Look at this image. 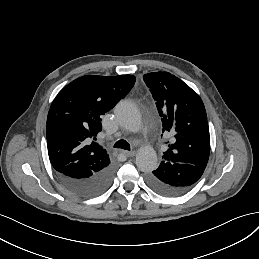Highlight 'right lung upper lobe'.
Returning a JSON list of instances; mask_svg holds the SVG:
<instances>
[{
    "label": "right lung upper lobe",
    "mask_w": 259,
    "mask_h": 259,
    "mask_svg": "<svg viewBox=\"0 0 259 259\" xmlns=\"http://www.w3.org/2000/svg\"><path fill=\"white\" fill-rule=\"evenodd\" d=\"M134 83L131 75H87L60 91L46 125L48 155L56 172L84 179L110 164L107 151L94 140L102 130V115L124 98Z\"/></svg>",
    "instance_id": "obj_1"
}]
</instances>
